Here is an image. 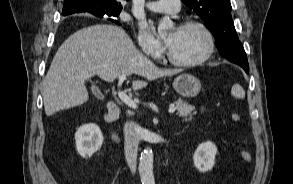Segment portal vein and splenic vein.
Segmentation results:
<instances>
[{"label": "portal vein and splenic vein", "instance_id": "obj_1", "mask_svg": "<svg viewBox=\"0 0 293 184\" xmlns=\"http://www.w3.org/2000/svg\"><path fill=\"white\" fill-rule=\"evenodd\" d=\"M126 79V75H121L118 80V86L120 87L124 80ZM118 96L123 101L126 105H128L131 108H137L136 102L132 100L125 92L121 91L120 89L118 90ZM169 113H174L176 111V108L170 107L169 108Z\"/></svg>", "mask_w": 293, "mask_h": 184}]
</instances>
